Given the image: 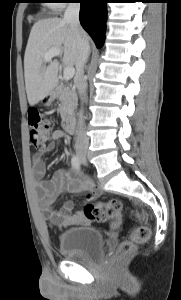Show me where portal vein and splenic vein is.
Listing matches in <instances>:
<instances>
[{
  "label": "portal vein and splenic vein",
  "mask_w": 181,
  "mask_h": 300,
  "mask_svg": "<svg viewBox=\"0 0 181 300\" xmlns=\"http://www.w3.org/2000/svg\"><path fill=\"white\" fill-rule=\"evenodd\" d=\"M62 54V49L61 48H53L50 49L48 52L45 53L44 55V61L49 62L53 57L60 56ZM75 74V69L74 67H65L63 71V77L65 80H70L73 78Z\"/></svg>",
  "instance_id": "18ae733b"
}]
</instances>
